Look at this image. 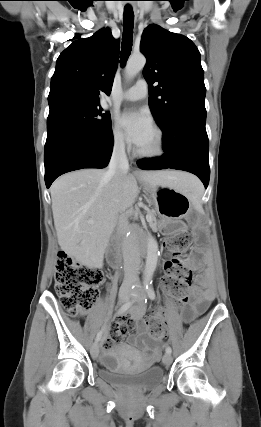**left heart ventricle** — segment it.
Instances as JSON below:
<instances>
[{"mask_svg": "<svg viewBox=\"0 0 261 427\" xmlns=\"http://www.w3.org/2000/svg\"><path fill=\"white\" fill-rule=\"evenodd\" d=\"M154 146H155V134L152 131V133L150 134L146 142L142 146H140L138 149L143 151H150L154 148Z\"/></svg>", "mask_w": 261, "mask_h": 427, "instance_id": "left-heart-ventricle-1", "label": "left heart ventricle"}]
</instances>
